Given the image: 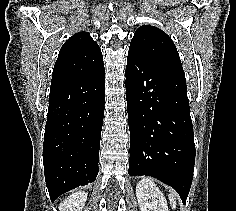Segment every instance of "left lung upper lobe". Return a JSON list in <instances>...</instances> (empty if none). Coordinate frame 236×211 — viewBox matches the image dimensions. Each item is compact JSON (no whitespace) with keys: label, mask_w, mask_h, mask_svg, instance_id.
Wrapping results in <instances>:
<instances>
[{"label":"left lung upper lobe","mask_w":236,"mask_h":211,"mask_svg":"<svg viewBox=\"0 0 236 211\" xmlns=\"http://www.w3.org/2000/svg\"><path fill=\"white\" fill-rule=\"evenodd\" d=\"M128 54L184 75L174 43L166 33L155 26L143 25L136 30Z\"/></svg>","instance_id":"1"}]
</instances>
